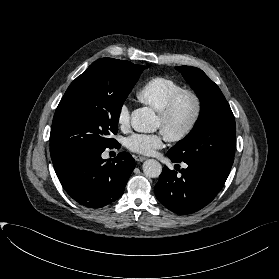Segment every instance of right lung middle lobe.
Returning <instances> with one entry per match:
<instances>
[{
	"label": "right lung middle lobe",
	"instance_id": "obj_1",
	"mask_svg": "<svg viewBox=\"0 0 279 279\" xmlns=\"http://www.w3.org/2000/svg\"><path fill=\"white\" fill-rule=\"evenodd\" d=\"M145 68L102 58L70 84L52 122V162L105 150L117 143L110 135L117 133L122 104Z\"/></svg>",
	"mask_w": 279,
	"mask_h": 279
}]
</instances>
